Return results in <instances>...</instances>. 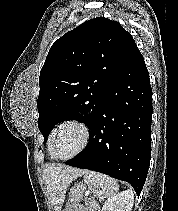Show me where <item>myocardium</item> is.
<instances>
[{"mask_svg":"<svg viewBox=\"0 0 178 211\" xmlns=\"http://www.w3.org/2000/svg\"><path fill=\"white\" fill-rule=\"evenodd\" d=\"M68 125H72V126H75V127L80 129V131L82 133V142H81L80 147L74 153H72L68 156H60L56 153V150H55L56 135L60 131V129H62L63 127L68 126ZM89 142H90V129L87 126V124L80 121V120H77V119H68V120H65L62 123H60L54 129L53 134H52V138H51V152H52L54 158H56V159L68 160V159H71L73 157L78 156L83 151H85V149L89 145Z\"/></svg>","mask_w":178,"mask_h":211,"instance_id":"1","label":"myocardium"}]
</instances>
